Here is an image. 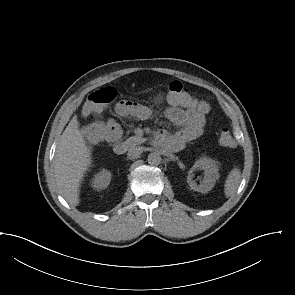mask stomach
Here are the masks:
<instances>
[{
  "instance_id": "1",
  "label": "stomach",
  "mask_w": 295,
  "mask_h": 295,
  "mask_svg": "<svg viewBox=\"0 0 295 295\" xmlns=\"http://www.w3.org/2000/svg\"><path fill=\"white\" fill-rule=\"evenodd\" d=\"M147 102L152 107H159L164 102V95L159 90H152L147 95Z\"/></svg>"
}]
</instances>
